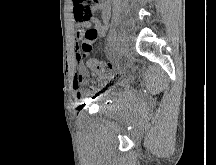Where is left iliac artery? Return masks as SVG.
<instances>
[{"instance_id":"44dca946","label":"left iliac artery","mask_w":216,"mask_h":165,"mask_svg":"<svg viewBox=\"0 0 216 165\" xmlns=\"http://www.w3.org/2000/svg\"><path fill=\"white\" fill-rule=\"evenodd\" d=\"M115 40H116V33H115V29H113L108 39V42H109L108 45L111 46Z\"/></svg>"}]
</instances>
